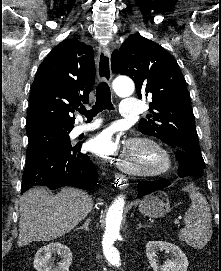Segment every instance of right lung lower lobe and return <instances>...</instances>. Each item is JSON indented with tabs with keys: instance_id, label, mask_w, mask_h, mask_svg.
<instances>
[{
	"instance_id": "1",
	"label": "right lung lower lobe",
	"mask_w": 221,
	"mask_h": 271,
	"mask_svg": "<svg viewBox=\"0 0 221 271\" xmlns=\"http://www.w3.org/2000/svg\"><path fill=\"white\" fill-rule=\"evenodd\" d=\"M81 144L65 149H49L27 157L21 192L33 186L57 189L74 186L91 189L97 182V169L87 155L80 153ZM21 193V194H22Z\"/></svg>"
}]
</instances>
